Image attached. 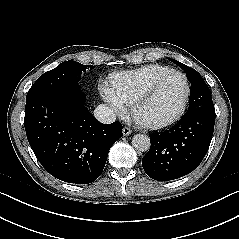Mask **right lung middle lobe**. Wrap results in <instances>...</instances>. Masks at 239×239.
Listing matches in <instances>:
<instances>
[{
  "label": "right lung middle lobe",
  "instance_id": "dd1d6c3e",
  "mask_svg": "<svg viewBox=\"0 0 239 239\" xmlns=\"http://www.w3.org/2000/svg\"><path fill=\"white\" fill-rule=\"evenodd\" d=\"M87 67L72 60L61 63L58 67L41 75L29 89L26 98L47 91L76 88L81 73L86 71Z\"/></svg>",
  "mask_w": 239,
  "mask_h": 239
}]
</instances>
